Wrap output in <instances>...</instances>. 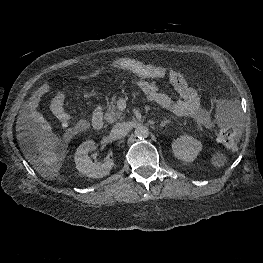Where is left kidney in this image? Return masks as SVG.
Listing matches in <instances>:
<instances>
[{"instance_id":"5707ae66","label":"left kidney","mask_w":263,"mask_h":263,"mask_svg":"<svg viewBox=\"0 0 263 263\" xmlns=\"http://www.w3.org/2000/svg\"><path fill=\"white\" fill-rule=\"evenodd\" d=\"M201 149V142L188 135H183L172 143V150L175 157L186 162H192Z\"/></svg>"}]
</instances>
